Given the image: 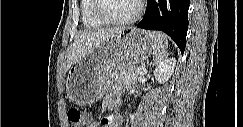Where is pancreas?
<instances>
[{
  "instance_id": "obj_1",
  "label": "pancreas",
  "mask_w": 243,
  "mask_h": 127,
  "mask_svg": "<svg viewBox=\"0 0 243 127\" xmlns=\"http://www.w3.org/2000/svg\"><path fill=\"white\" fill-rule=\"evenodd\" d=\"M139 68L135 66H124L119 70L113 72V76L116 80H122L125 82L128 89H131L137 79L142 75Z\"/></svg>"
}]
</instances>
